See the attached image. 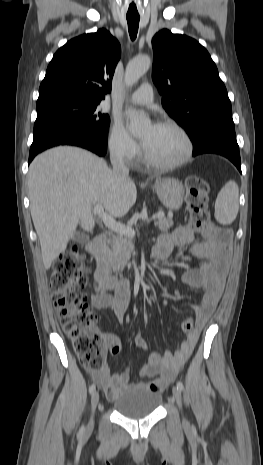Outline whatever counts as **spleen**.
Masks as SVG:
<instances>
[{
	"instance_id": "spleen-1",
	"label": "spleen",
	"mask_w": 263,
	"mask_h": 465,
	"mask_svg": "<svg viewBox=\"0 0 263 465\" xmlns=\"http://www.w3.org/2000/svg\"><path fill=\"white\" fill-rule=\"evenodd\" d=\"M238 186L234 181H228L218 193L215 202V218L223 225L231 224L238 213Z\"/></svg>"
}]
</instances>
